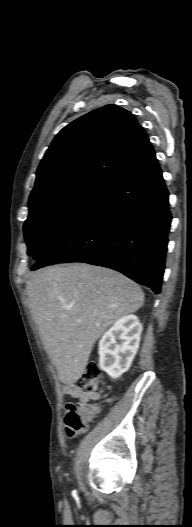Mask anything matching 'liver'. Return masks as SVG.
<instances>
[{
	"label": "liver",
	"instance_id": "1",
	"mask_svg": "<svg viewBox=\"0 0 192 527\" xmlns=\"http://www.w3.org/2000/svg\"><path fill=\"white\" fill-rule=\"evenodd\" d=\"M26 291L44 348L68 385L81 378L105 330L144 303L135 282L88 264L45 268L28 279Z\"/></svg>",
	"mask_w": 192,
	"mask_h": 527
}]
</instances>
